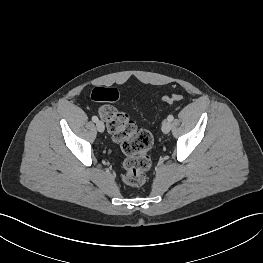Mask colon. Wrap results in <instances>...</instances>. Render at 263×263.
I'll use <instances>...</instances> for the list:
<instances>
[{
	"instance_id": "1",
	"label": "colon",
	"mask_w": 263,
	"mask_h": 263,
	"mask_svg": "<svg viewBox=\"0 0 263 263\" xmlns=\"http://www.w3.org/2000/svg\"><path fill=\"white\" fill-rule=\"evenodd\" d=\"M91 98L100 104L98 113L105 121L112 139L119 143L126 156L122 166V181L131 187L144 185L151 167L148 154L153 145L151 133L138 128L126 113L112 106V103L118 99V91L115 88L96 87ZM163 100L167 103H178L183 100V97L180 94H171L165 96Z\"/></svg>"
}]
</instances>
